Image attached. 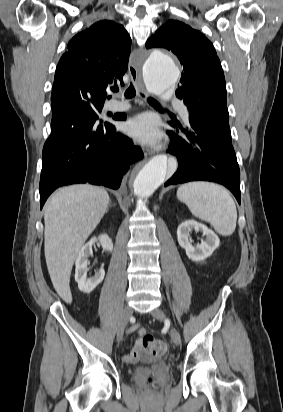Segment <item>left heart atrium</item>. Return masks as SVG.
Instances as JSON below:
<instances>
[{
    "mask_svg": "<svg viewBox=\"0 0 283 412\" xmlns=\"http://www.w3.org/2000/svg\"><path fill=\"white\" fill-rule=\"evenodd\" d=\"M124 131L133 140L143 145H156L162 137L156 118L150 114H141L130 119Z\"/></svg>",
    "mask_w": 283,
    "mask_h": 412,
    "instance_id": "left-heart-atrium-1",
    "label": "left heart atrium"
}]
</instances>
